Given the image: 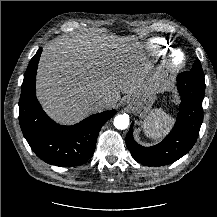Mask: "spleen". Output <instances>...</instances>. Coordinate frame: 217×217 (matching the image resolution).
I'll list each match as a JSON object with an SVG mask.
<instances>
[{
  "label": "spleen",
  "mask_w": 217,
  "mask_h": 217,
  "mask_svg": "<svg viewBox=\"0 0 217 217\" xmlns=\"http://www.w3.org/2000/svg\"><path fill=\"white\" fill-rule=\"evenodd\" d=\"M173 123V118L161 109H156L147 117L143 128L146 136L160 139L167 134Z\"/></svg>",
  "instance_id": "1"
}]
</instances>
